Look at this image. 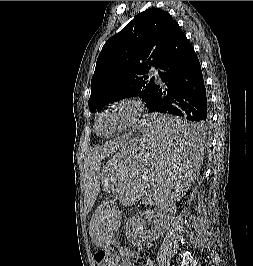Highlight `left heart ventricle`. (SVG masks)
Wrapping results in <instances>:
<instances>
[{"instance_id":"b2bd125f","label":"left heart ventricle","mask_w":253,"mask_h":266,"mask_svg":"<svg viewBox=\"0 0 253 266\" xmlns=\"http://www.w3.org/2000/svg\"><path fill=\"white\" fill-rule=\"evenodd\" d=\"M128 116L129 110L125 107H117L105 112L99 121V133L102 135H111L125 124Z\"/></svg>"}]
</instances>
